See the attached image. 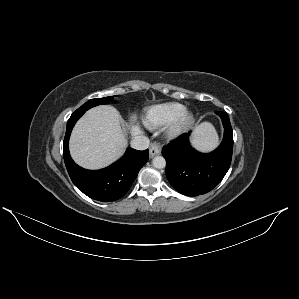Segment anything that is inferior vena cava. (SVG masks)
<instances>
[{
  "mask_svg": "<svg viewBox=\"0 0 299 299\" xmlns=\"http://www.w3.org/2000/svg\"><path fill=\"white\" fill-rule=\"evenodd\" d=\"M149 143H150L149 138L142 134L133 136L130 142L131 146L137 150L147 149Z\"/></svg>",
  "mask_w": 299,
  "mask_h": 299,
  "instance_id": "602c4592",
  "label": "inferior vena cava"
}]
</instances>
